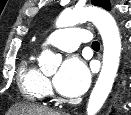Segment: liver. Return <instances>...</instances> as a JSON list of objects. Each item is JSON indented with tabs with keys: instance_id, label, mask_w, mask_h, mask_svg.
<instances>
[{
	"instance_id": "obj_1",
	"label": "liver",
	"mask_w": 131,
	"mask_h": 115,
	"mask_svg": "<svg viewBox=\"0 0 131 115\" xmlns=\"http://www.w3.org/2000/svg\"><path fill=\"white\" fill-rule=\"evenodd\" d=\"M9 113L12 115H60L57 111L28 104H16Z\"/></svg>"
}]
</instances>
